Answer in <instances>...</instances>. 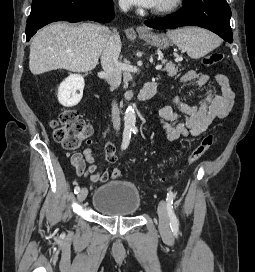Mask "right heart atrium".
<instances>
[{
	"label": "right heart atrium",
	"instance_id": "obj_1",
	"mask_svg": "<svg viewBox=\"0 0 255 272\" xmlns=\"http://www.w3.org/2000/svg\"><path fill=\"white\" fill-rule=\"evenodd\" d=\"M120 6L123 9L128 8V4H127L126 0H120Z\"/></svg>",
	"mask_w": 255,
	"mask_h": 272
}]
</instances>
